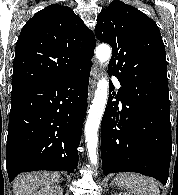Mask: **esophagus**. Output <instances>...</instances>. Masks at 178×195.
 <instances>
[{"mask_svg":"<svg viewBox=\"0 0 178 195\" xmlns=\"http://www.w3.org/2000/svg\"><path fill=\"white\" fill-rule=\"evenodd\" d=\"M100 75H101V66L97 61H95L91 68V73H90V89L88 94V101H90L93 96V92L100 78Z\"/></svg>","mask_w":178,"mask_h":195,"instance_id":"34e87169","label":"esophagus"}]
</instances>
